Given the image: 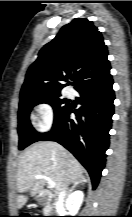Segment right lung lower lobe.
<instances>
[{
    "label": "right lung lower lobe",
    "instance_id": "right-lung-lower-lobe-1",
    "mask_svg": "<svg viewBox=\"0 0 132 217\" xmlns=\"http://www.w3.org/2000/svg\"><path fill=\"white\" fill-rule=\"evenodd\" d=\"M112 77L99 84L77 90L80 94L78 110L68 108L55 121L52 130L40 140L56 141L68 149L87 169L93 189L99 183L105 166V151L109 146V130L114 113ZM76 120L70 119V113Z\"/></svg>",
    "mask_w": 132,
    "mask_h": 217
}]
</instances>
